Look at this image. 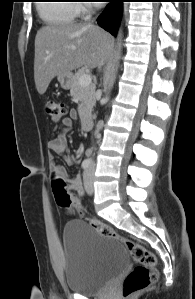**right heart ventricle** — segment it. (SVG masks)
Masks as SVG:
<instances>
[{"instance_id":"1","label":"right heart ventricle","mask_w":195,"mask_h":299,"mask_svg":"<svg viewBox=\"0 0 195 299\" xmlns=\"http://www.w3.org/2000/svg\"><path fill=\"white\" fill-rule=\"evenodd\" d=\"M42 3L38 7L40 17L47 25H67L74 22L77 5L69 0H54Z\"/></svg>"}]
</instances>
